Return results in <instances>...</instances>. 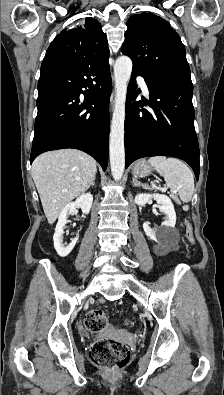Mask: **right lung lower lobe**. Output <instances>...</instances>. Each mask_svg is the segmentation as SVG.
Returning a JSON list of instances; mask_svg holds the SVG:
<instances>
[{
  "instance_id": "1",
  "label": "right lung lower lobe",
  "mask_w": 224,
  "mask_h": 395,
  "mask_svg": "<svg viewBox=\"0 0 224 395\" xmlns=\"http://www.w3.org/2000/svg\"><path fill=\"white\" fill-rule=\"evenodd\" d=\"M111 91L109 63L80 68L43 60L30 163L43 152L75 148L94 157L106 170Z\"/></svg>"
}]
</instances>
